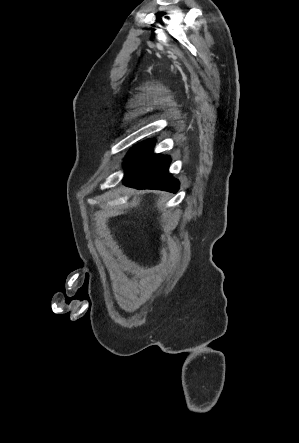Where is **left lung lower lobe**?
I'll list each match as a JSON object with an SVG mask.
<instances>
[{
    "mask_svg": "<svg viewBox=\"0 0 299 443\" xmlns=\"http://www.w3.org/2000/svg\"><path fill=\"white\" fill-rule=\"evenodd\" d=\"M154 140L134 146L125 157L123 183L137 189H160L176 193L179 183L168 173L169 157L154 154Z\"/></svg>",
    "mask_w": 299,
    "mask_h": 443,
    "instance_id": "1",
    "label": "left lung lower lobe"
}]
</instances>
